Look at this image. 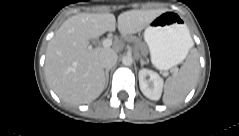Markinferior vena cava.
Masks as SVG:
<instances>
[{"instance_id":"obj_1","label":"inferior vena cava","mask_w":239,"mask_h":136,"mask_svg":"<svg viewBox=\"0 0 239 136\" xmlns=\"http://www.w3.org/2000/svg\"><path fill=\"white\" fill-rule=\"evenodd\" d=\"M117 54L112 51H104L100 54L99 60L103 68L110 69L112 68L117 62Z\"/></svg>"}]
</instances>
